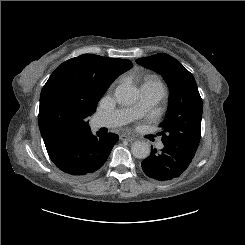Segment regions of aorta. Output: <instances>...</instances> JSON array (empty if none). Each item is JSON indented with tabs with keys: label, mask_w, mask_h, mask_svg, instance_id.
I'll list each match as a JSON object with an SVG mask.
<instances>
[{
	"label": "aorta",
	"mask_w": 245,
	"mask_h": 245,
	"mask_svg": "<svg viewBox=\"0 0 245 245\" xmlns=\"http://www.w3.org/2000/svg\"><path fill=\"white\" fill-rule=\"evenodd\" d=\"M138 90L128 84H121L115 89V98L118 103L132 105L138 99ZM131 152L135 158L145 159L150 155V145L145 141H135L131 145Z\"/></svg>",
	"instance_id": "obj_1"
}]
</instances>
